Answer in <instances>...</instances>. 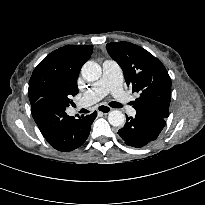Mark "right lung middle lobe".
I'll return each instance as SVG.
<instances>
[{
	"instance_id": "obj_1",
	"label": "right lung middle lobe",
	"mask_w": 205,
	"mask_h": 205,
	"mask_svg": "<svg viewBox=\"0 0 205 205\" xmlns=\"http://www.w3.org/2000/svg\"><path fill=\"white\" fill-rule=\"evenodd\" d=\"M76 94L75 93H72V92H69V91H63L59 94H57L56 96H58L59 100L62 102V104L66 107L69 106L71 102L70 98L72 96H75Z\"/></svg>"
}]
</instances>
